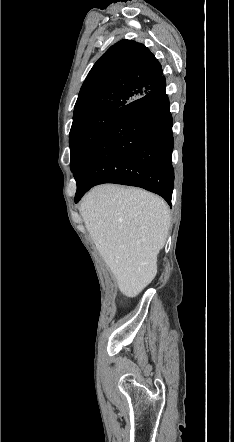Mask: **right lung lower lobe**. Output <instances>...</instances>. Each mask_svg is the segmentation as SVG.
I'll list each match as a JSON object with an SVG mask.
<instances>
[{
	"label": "right lung lower lobe",
	"mask_w": 234,
	"mask_h": 442,
	"mask_svg": "<svg viewBox=\"0 0 234 442\" xmlns=\"http://www.w3.org/2000/svg\"><path fill=\"white\" fill-rule=\"evenodd\" d=\"M163 76L122 108L76 167L75 202L93 186L117 183L144 188L171 205L174 170L172 116Z\"/></svg>",
	"instance_id": "98d812e1"
}]
</instances>
